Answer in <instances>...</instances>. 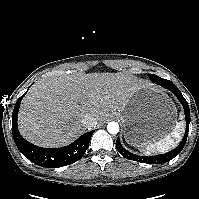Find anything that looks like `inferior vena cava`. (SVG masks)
I'll return each instance as SVG.
<instances>
[{
  "instance_id": "1",
  "label": "inferior vena cava",
  "mask_w": 199,
  "mask_h": 199,
  "mask_svg": "<svg viewBox=\"0 0 199 199\" xmlns=\"http://www.w3.org/2000/svg\"><path fill=\"white\" fill-rule=\"evenodd\" d=\"M84 125L91 127L94 126L96 124V119L91 116V115H86L82 121H81Z\"/></svg>"
}]
</instances>
